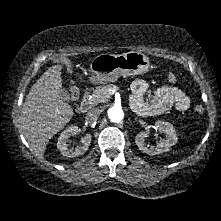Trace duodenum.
Here are the masks:
<instances>
[{"instance_id": "obj_1", "label": "duodenum", "mask_w": 221, "mask_h": 221, "mask_svg": "<svg viewBox=\"0 0 221 221\" xmlns=\"http://www.w3.org/2000/svg\"><path fill=\"white\" fill-rule=\"evenodd\" d=\"M92 103L88 95H84L80 104V111L86 113L91 109Z\"/></svg>"}]
</instances>
